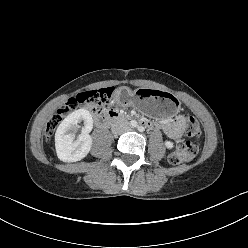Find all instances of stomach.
<instances>
[{
    "mask_svg": "<svg viewBox=\"0 0 248 248\" xmlns=\"http://www.w3.org/2000/svg\"><path fill=\"white\" fill-rule=\"evenodd\" d=\"M113 99L119 107L132 105L139 113L150 117L166 118L179 110V101L173 95L153 86L133 91L128 87H121L115 91Z\"/></svg>",
    "mask_w": 248,
    "mask_h": 248,
    "instance_id": "0dacf381",
    "label": "stomach"
}]
</instances>
